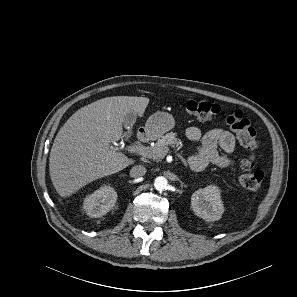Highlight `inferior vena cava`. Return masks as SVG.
I'll list each match as a JSON object with an SVG mask.
<instances>
[{
	"instance_id": "inferior-vena-cava-1",
	"label": "inferior vena cava",
	"mask_w": 297,
	"mask_h": 297,
	"mask_svg": "<svg viewBox=\"0 0 297 297\" xmlns=\"http://www.w3.org/2000/svg\"><path fill=\"white\" fill-rule=\"evenodd\" d=\"M146 172H147V169L144 166L136 165V166L131 168L130 176L134 177V178H137V177L145 175Z\"/></svg>"
}]
</instances>
